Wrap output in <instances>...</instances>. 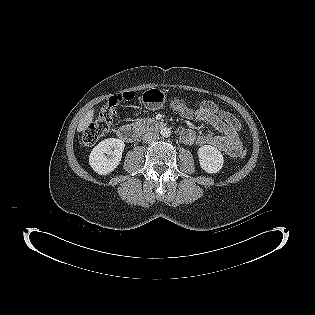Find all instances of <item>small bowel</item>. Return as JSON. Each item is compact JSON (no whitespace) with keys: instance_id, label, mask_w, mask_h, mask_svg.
Listing matches in <instances>:
<instances>
[{"instance_id":"obj_1","label":"small bowel","mask_w":315,"mask_h":315,"mask_svg":"<svg viewBox=\"0 0 315 315\" xmlns=\"http://www.w3.org/2000/svg\"><path fill=\"white\" fill-rule=\"evenodd\" d=\"M182 117L210 124L219 134L211 131L198 134L189 128L180 129V138L186 145H211L230 156H238L243 144L239 135L240 122L228 111L221 109L215 102L205 100L196 109L188 106L177 109Z\"/></svg>"}]
</instances>
